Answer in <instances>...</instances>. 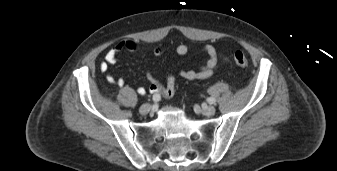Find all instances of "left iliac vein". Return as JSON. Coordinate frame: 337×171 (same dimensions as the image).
Instances as JSON below:
<instances>
[{"label": "left iliac vein", "mask_w": 337, "mask_h": 171, "mask_svg": "<svg viewBox=\"0 0 337 171\" xmlns=\"http://www.w3.org/2000/svg\"><path fill=\"white\" fill-rule=\"evenodd\" d=\"M201 113L205 116H212L215 114V108L213 106H205L201 108Z\"/></svg>", "instance_id": "obj_1"}]
</instances>
